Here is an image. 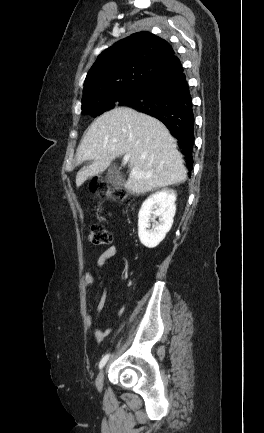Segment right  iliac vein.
<instances>
[{"label":"right iliac vein","instance_id":"1","mask_svg":"<svg viewBox=\"0 0 264 433\" xmlns=\"http://www.w3.org/2000/svg\"><path fill=\"white\" fill-rule=\"evenodd\" d=\"M96 388L98 391L102 390L103 383H104V370H101L96 378Z\"/></svg>","mask_w":264,"mask_h":433}]
</instances>
